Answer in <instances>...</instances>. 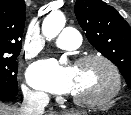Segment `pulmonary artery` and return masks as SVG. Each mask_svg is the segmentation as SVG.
I'll return each mask as SVG.
<instances>
[{
  "instance_id": "pulmonary-artery-1",
  "label": "pulmonary artery",
  "mask_w": 131,
  "mask_h": 115,
  "mask_svg": "<svg viewBox=\"0 0 131 115\" xmlns=\"http://www.w3.org/2000/svg\"><path fill=\"white\" fill-rule=\"evenodd\" d=\"M81 37L77 30L73 28H65L54 40V44L65 50L76 49L80 46Z\"/></svg>"
}]
</instances>
